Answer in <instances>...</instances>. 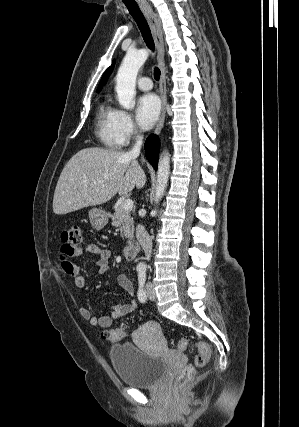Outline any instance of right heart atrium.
I'll use <instances>...</instances> for the list:
<instances>
[{
  "mask_svg": "<svg viewBox=\"0 0 299 427\" xmlns=\"http://www.w3.org/2000/svg\"><path fill=\"white\" fill-rule=\"evenodd\" d=\"M116 130L121 145L127 144L139 134V129L132 116L124 110H117Z\"/></svg>",
  "mask_w": 299,
  "mask_h": 427,
  "instance_id": "obj_1",
  "label": "right heart atrium"
}]
</instances>
